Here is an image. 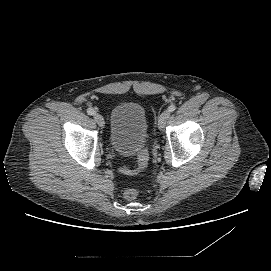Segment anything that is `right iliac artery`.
I'll return each instance as SVG.
<instances>
[{
  "mask_svg": "<svg viewBox=\"0 0 271 271\" xmlns=\"http://www.w3.org/2000/svg\"><path fill=\"white\" fill-rule=\"evenodd\" d=\"M87 113H88V115H94L95 114V110L92 109V108H89V109H87Z\"/></svg>",
  "mask_w": 271,
  "mask_h": 271,
  "instance_id": "82829eb1",
  "label": "right iliac artery"
}]
</instances>
